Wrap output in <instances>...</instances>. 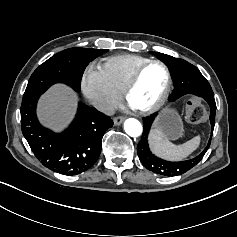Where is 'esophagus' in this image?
<instances>
[{
  "instance_id": "34e87169",
  "label": "esophagus",
  "mask_w": 237,
  "mask_h": 237,
  "mask_svg": "<svg viewBox=\"0 0 237 237\" xmlns=\"http://www.w3.org/2000/svg\"><path fill=\"white\" fill-rule=\"evenodd\" d=\"M124 120H125V117L120 116V117L114 118L113 122H114L115 125H120V124H122V122Z\"/></svg>"
}]
</instances>
